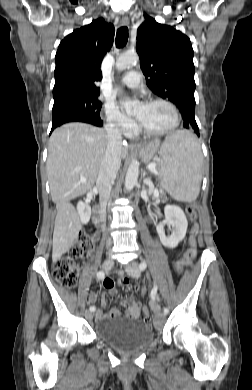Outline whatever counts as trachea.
Wrapping results in <instances>:
<instances>
[{
  "mask_svg": "<svg viewBox=\"0 0 252 390\" xmlns=\"http://www.w3.org/2000/svg\"><path fill=\"white\" fill-rule=\"evenodd\" d=\"M128 41V28L121 27L117 30L116 34V46L117 48L124 47Z\"/></svg>",
  "mask_w": 252,
  "mask_h": 390,
  "instance_id": "3493384b",
  "label": "trachea"
}]
</instances>
